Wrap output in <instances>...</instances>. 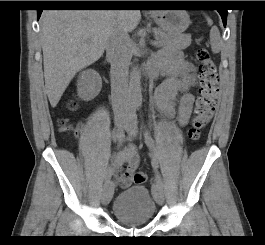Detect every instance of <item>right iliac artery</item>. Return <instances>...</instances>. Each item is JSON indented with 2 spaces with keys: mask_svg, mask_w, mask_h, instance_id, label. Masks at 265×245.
I'll use <instances>...</instances> for the list:
<instances>
[{
  "mask_svg": "<svg viewBox=\"0 0 265 245\" xmlns=\"http://www.w3.org/2000/svg\"><path fill=\"white\" fill-rule=\"evenodd\" d=\"M133 109V113L136 110V105L132 106ZM131 119H134V114L131 115ZM124 131L123 128L120 127H115L112 131V138L114 139V141H118L121 142L124 138ZM105 181H109L110 180V176H109V169H107L105 177H104Z\"/></svg>",
  "mask_w": 265,
  "mask_h": 245,
  "instance_id": "1",
  "label": "right iliac artery"
}]
</instances>
